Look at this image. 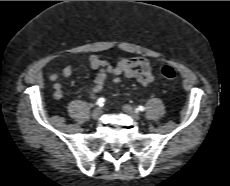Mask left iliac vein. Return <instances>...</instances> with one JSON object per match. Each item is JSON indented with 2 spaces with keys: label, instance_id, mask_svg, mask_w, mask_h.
Segmentation results:
<instances>
[{
  "label": "left iliac vein",
  "instance_id": "4c4485c4",
  "mask_svg": "<svg viewBox=\"0 0 230 186\" xmlns=\"http://www.w3.org/2000/svg\"><path fill=\"white\" fill-rule=\"evenodd\" d=\"M123 111L130 117H132L134 120H139L140 116L139 114L131 107L130 105H124L123 106Z\"/></svg>",
  "mask_w": 230,
  "mask_h": 186
}]
</instances>
